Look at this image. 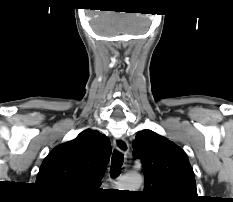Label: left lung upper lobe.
Wrapping results in <instances>:
<instances>
[{
    "label": "left lung upper lobe",
    "instance_id": "5c2ea615",
    "mask_svg": "<svg viewBox=\"0 0 233 202\" xmlns=\"http://www.w3.org/2000/svg\"><path fill=\"white\" fill-rule=\"evenodd\" d=\"M133 147L144 169L148 202L198 200L193 169L180 147L151 130L139 132Z\"/></svg>",
    "mask_w": 233,
    "mask_h": 202
}]
</instances>
